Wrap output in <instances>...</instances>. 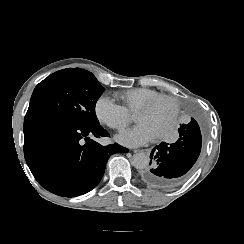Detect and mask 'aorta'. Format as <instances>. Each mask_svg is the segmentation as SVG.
<instances>
[{
    "instance_id": "aorta-1",
    "label": "aorta",
    "mask_w": 244,
    "mask_h": 244,
    "mask_svg": "<svg viewBox=\"0 0 244 244\" xmlns=\"http://www.w3.org/2000/svg\"><path fill=\"white\" fill-rule=\"evenodd\" d=\"M131 163L136 169H145L149 165V157L145 153H136Z\"/></svg>"
}]
</instances>
